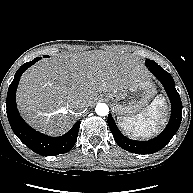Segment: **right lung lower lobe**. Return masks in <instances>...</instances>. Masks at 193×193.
Returning <instances> with one entry per match:
<instances>
[{"label":"right lung lower lobe","mask_w":193,"mask_h":193,"mask_svg":"<svg viewBox=\"0 0 193 193\" xmlns=\"http://www.w3.org/2000/svg\"><path fill=\"white\" fill-rule=\"evenodd\" d=\"M39 59L22 65L16 72L7 93V115L13 132L32 151L40 155H58L68 152L75 144L81 122H77L68 133L50 137L31 128L20 116L16 107V90L22 73Z\"/></svg>","instance_id":"obj_1"}]
</instances>
